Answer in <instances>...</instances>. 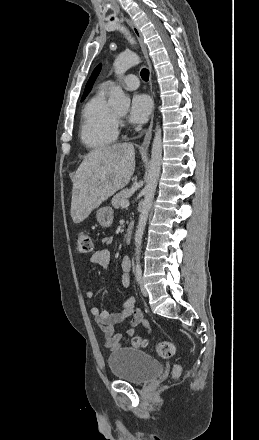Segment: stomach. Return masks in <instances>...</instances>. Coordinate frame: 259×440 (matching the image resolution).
I'll use <instances>...</instances> for the list:
<instances>
[{"label": "stomach", "instance_id": "1", "mask_svg": "<svg viewBox=\"0 0 259 440\" xmlns=\"http://www.w3.org/2000/svg\"><path fill=\"white\" fill-rule=\"evenodd\" d=\"M96 218L100 226L109 227L113 222V210L111 207H102L97 210Z\"/></svg>", "mask_w": 259, "mask_h": 440}]
</instances>
